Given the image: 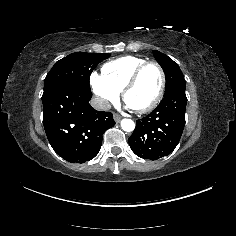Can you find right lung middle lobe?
I'll list each match as a JSON object with an SVG mask.
<instances>
[{
	"mask_svg": "<svg viewBox=\"0 0 236 236\" xmlns=\"http://www.w3.org/2000/svg\"><path fill=\"white\" fill-rule=\"evenodd\" d=\"M110 54L76 52L57 61L44 79V91L56 84L66 83L91 92L90 74L93 69Z\"/></svg>",
	"mask_w": 236,
	"mask_h": 236,
	"instance_id": "1",
	"label": "right lung middle lobe"
}]
</instances>
